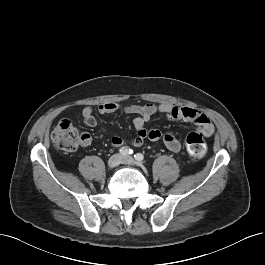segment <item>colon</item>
Returning <instances> with one entry per match:
<instances>
[{
    "mask_svg": "<svg viewBox=\"0 0 265 265\" xmlns=\"http://www.w3.org/2000/svg\"><path fill=\"white\" fill-rule=\"evenodd\" d=\"M81 140L82 136L69 120H62L53 129L52 141L62 151H76ZM185 144L189 155L193 158H201L206 153V141L199 132H190L186 136Z\"/></svg>",
    "mask_w": 265,
    "mask_h": 265,
    "instance_id": "obj_1",
    "label": "colon"
}]
</instances>
